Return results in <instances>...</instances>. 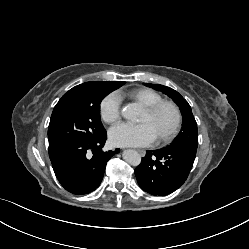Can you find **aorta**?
<instances>
[{
  "label": "aorta",
  "instance_id": "1",
  "mask_svg": "<svg viewBox=\"0 0 249 249\" xmlns=\"http://www.w3.org/2000/svg\"><path fill=\"white\" fill-rule=\"evenodd\" d=\"M121 115L127 120H135L138 115V107L135 104H128L122 108ZM123 159L132 166H137L141 162L140 154L132 149L123 152Z\"/></svg>",
  "mask_w": 249,
  "mask_h": 249
}]
</instances>
